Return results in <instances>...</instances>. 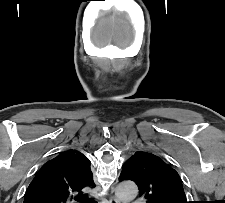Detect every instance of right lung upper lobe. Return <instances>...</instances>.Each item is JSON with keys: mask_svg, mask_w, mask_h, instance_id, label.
<instances>
[{"mask_svg": "<svg viewBox=\"0 0 225 203\" xmlns=\"http://www.w3.org/2000/svg\"><path fill=\"white\" fill-rule=\"evenodd\" d=\"M90 160L77 150H67L46 162L30 183L23 203H67L94 187Z\"/></svg>", "mask_w": 225, "mask_h": 203, "instance_id": "cb5924a9", "label": "right lung upper lobe"}]
</instances>
